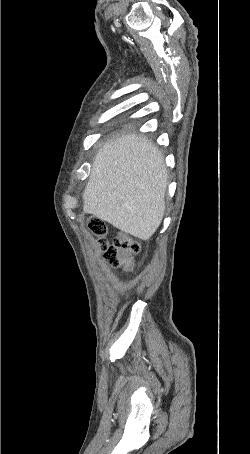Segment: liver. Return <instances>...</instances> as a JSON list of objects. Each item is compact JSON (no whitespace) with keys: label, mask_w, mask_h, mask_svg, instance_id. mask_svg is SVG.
<instances>
[{"label":"liver","mask_w":250,"mask_h":454,"mask_svg":"<svg viewBox=\"0 0 250 454\" xmlns=\"http://www.w3.org/2000/svg\"><path fill=\"white\" fill-rule=\"evenodd\" d=\"M164 157L136 134L105 142L95 155L83 193V212L141 240H149L165 212Z\"/></svg>","instance_id":"obj_1"}]
</instances>
